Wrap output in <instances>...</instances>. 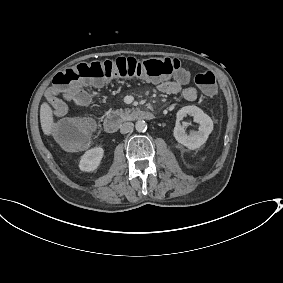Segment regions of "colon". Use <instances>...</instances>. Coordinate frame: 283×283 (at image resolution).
<instances>
[{
  "instance_id": "1",
  "label": "colon",
  "mask_w": 283,
  "mask_h": 283,
  "mask_svg": "<svg viewBox=\"0 0 283 283\" xmlns=\"http://www.w3.org/2000/svg\"><path fill=\"white\" fill-rule=\"evenodd\" d=\"M180 64L174 58L136 59L119 57L114 60L79 63L59 72L53 84L73 103L86 106L90 95L83 89L86 84L101 85L111 79H149L168 78L179 70ZM195 84L206 95H214L217 82L212 72H203L195 76ZM94 121L85 116L70 117L57 122L52 134L65 149L79 150L89 144L94 131Z\"/></svg>"
}]
</instances>
